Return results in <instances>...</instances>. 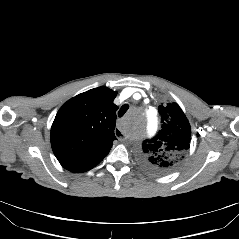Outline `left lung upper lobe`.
I'll return each instance as SVG.
<instances>
[{"instance_id": "1", "label": "left lung upper lobe", "mask_w": 239, "mask_h": 239, "mask_svg": "<svg viewBox=\"0 0 239 239\" xmlns=\"http://www.w3.org/2000/svg\"><path fill=\"white\" fill-rule=\"evenodd\" d=\"M162 129L143 142L142 164L153 172L168 173L176 169L190 147L191 127L177 103L158 107Z\"/></svg>"}]
</instances>
